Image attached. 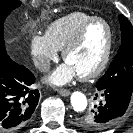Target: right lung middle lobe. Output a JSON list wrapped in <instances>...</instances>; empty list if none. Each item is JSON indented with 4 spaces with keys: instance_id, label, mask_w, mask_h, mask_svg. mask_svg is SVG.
Here are the masks:
<instances>
[{
    "instance_id": "obj_1",
    "label": "right lung middle lobe",
    "mask_w": 133,
    "mask_h": 133,
    "mask_svg": "<svg viewBox=\"0 0 133 133\" xmlns=\"http://www.w3.org/2000/svg\"><path fill=\"white\" fill-rule=\"evenodd\" d=\"M20 5V1L0 0V58H5L8 56L5 50L3 39L4 20L11 13L12 10L16 9Z\"/></svg>"
}]
</instances>
